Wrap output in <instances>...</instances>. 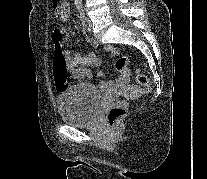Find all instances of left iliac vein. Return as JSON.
<instances>
[{"mask_svg": "<svg viewBox=\"0 0 207 179\" xmlns=\"http://www.w3.org/2000/svg\"><path fill=\"white\" fill-rule=\"evenodd\" d=\"M87 21V27H88V31L92 32V23L91 20L89 18H86Z\"/></svg>", "mask_w": 207, "mask_h": 179, "instance_id": "obj_1", "label": "left iliac vein"}]
</instances>
